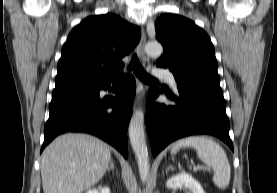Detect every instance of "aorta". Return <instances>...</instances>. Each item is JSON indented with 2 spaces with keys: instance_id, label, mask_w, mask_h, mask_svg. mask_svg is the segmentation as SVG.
Masks as SVG:
<instances>
[{
  "instance_id": "762f6f07",
  "label": "aorta",
  "mask_w": 277,
  "mask_h": 193,
  "mask_svg": "<svg viewBox=\"0 0 277 193\" xmlns=\"http://www.w3.org/2000/svg\"><path fill=\"white\" fill-rule=\"evenodd\" d=\"M145 52L149 56L158 57L162 54L163 48L158 42H149L145 46ZM129 138L137 159L140 178L142 182H146L149 176L150 164L144 131V114L141 110L136 111L131 118Z\"/></svg>"
}]
</instances>
